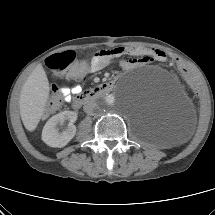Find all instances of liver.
<instances>
[{"mask_svg": "<svg viewBox=\"0 0 215 215\" xmlns=\"http://www.w3.org/2000/svg\"><path fill=\"white\" fill-rule=\"evenodd\" d=\"M49 81L44 68L38 64L24 83L19 108L22 122L28 131H34L44 113L49 98Z\"/></svg>", "mask_w": 215, "mask_h": 215, "instance_id": "liver-1", "label": "liver"}]
</instances>
